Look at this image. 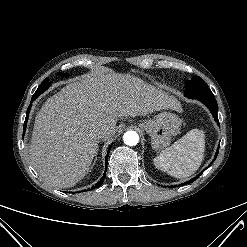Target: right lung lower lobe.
I'll return each instance as SVG.
<instances>
[{"instance_id": "1", "label": "right lung lower lobe", "mask_w": 247, "mask_h": 247, "mask_svg": "<svg viewBox=\"0 0 247 247\" xmlns=\"http://www.w3.org/2000/svg\"><path fill=\"white\" fill-rule=\"evenodd\" d=\"M37 97L38 96L33 95L32 99H31V102H33ZM30 109H31V105L28 107V110H27L26 119H25L24 128H23V135L25 134V130H26V125H27V120H28ZM110 149H111V146L109 147L108 153L106 155V159H105L106 160V166H107V159H108V155H109ZM105 174H106V171H105L103 177L101 178V180L96 184L95 187H100L102 185L104 177H105Z\"/></svg>"}]
</instances>
